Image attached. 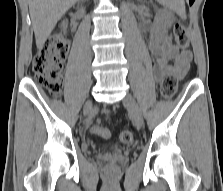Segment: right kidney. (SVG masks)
Here are the masks:
<instances>
[{
  "label": "right kidney",
  "instance_id": "right-kidney-1",
  "mask_svg": "<svg viewBox=\"0 0 223 191\" xmlns=\"http://www.w3.org/2000/svg\"><path fill=\"white\" fill-rule=\"evenodd\" d=\"M61 27L63 29V31L65 32L66 28H67V23L65 21L62 22Z\"/></svg>",
  "mask_w": 223,
  "mask_h": 191
}]
</instances>
